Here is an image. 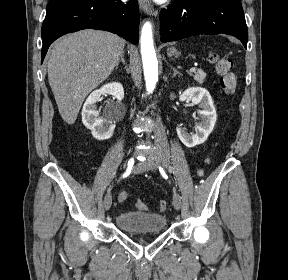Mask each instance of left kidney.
I'll list each match as a JSON object with an SVG mask.
<instances>
[{
  "mask_svg": "<svg viewBox=\"0 0 288 280\" xmlns=\"http://www.w3.org/2000/svg\"><path fill=\"white\" fill-rule=\"evenodd\" d=\"M179 100H191L193 104H199L201 108V110L198 111L201 119L197 124L196 133L190 134L183 126L178 125L176 131L179 139L189 148L204 143L214 129L217 118L210 93L202 87H191L180 94Z\"/></svg>",
  "mask_w": 288,
  "mask_h": 280,
  "instance_id": "left-kidney-1",
  "label": "left kidney"
}]
</instances>
